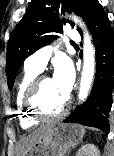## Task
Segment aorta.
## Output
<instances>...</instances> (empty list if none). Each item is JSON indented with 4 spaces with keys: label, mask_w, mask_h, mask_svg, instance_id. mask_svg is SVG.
<instances>
[{
    "label": "aorta",
    "mask_w": 114,
    "mask_h": 156,
    "mask_svg": "<svg viewBox=\"0 0 114 156\" xmlns=\"http://www.w3.org/2000/svg\"><path fill=\"white\" fill-rule=\"evenodd\" d=\"M72 20L77 23L84 32L83 44V69L80 81L79 100L84 101L87 98L91 88L95 70V50L91 44V37L87 32L85 25L76 16H72Z\"/></svg>",
    "instance_id": "1"
}]
</instances>
